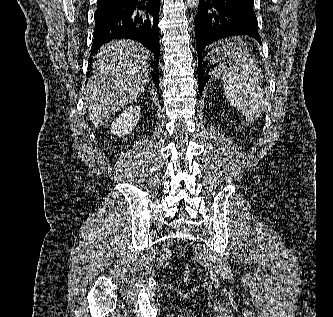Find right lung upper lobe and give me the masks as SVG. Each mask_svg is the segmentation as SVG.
I'll list each match as a JSON object with an SVG mask.
<instances>
[{
	"instance_id": "right-lung-upper-lobe-1",
	"label": "right lung upper lobe",
	"mask_w": 333,
	"mask_h": 317,
	"mask_svg": "<svg viewBox=\"0 0 333 317\" xmlns=\"http://www.w3.org/2000/svg\"><path fill=\"white\" fill-rule=\"evenodd\" d=\"M98 1H108V0H97V2H98Z\"/></svg>"
}]
</instances>
